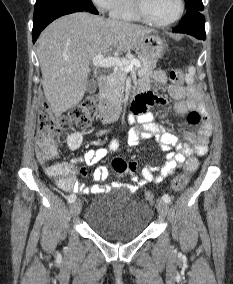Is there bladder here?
I'll return each mask as SVG.
<instances>
[{
    "instance_id": "obj_1",
    "label": "bladder",
    "mask_w": 233,
    "mask_h": 284,
    "mask_svg": "<svg viewBox=\"0 0 233 284\" xmlns=\"http://www.w3.org/2000/svg\"><path fill=\"white\" fill-rule=\"evenodd\" d=\"M152 215L150 204L134 194L118 199L100 197L88 207L85 223L100 237L123 242L143 234L151 223Z\"/></svg>"
}]
</instances>
